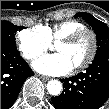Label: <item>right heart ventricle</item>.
<instances>
[{
    "instance_id": "e07e8e85",
    "label": "right heart ventricle",
    "mask_w": 109,
    "mask_h": 109,
    "mask_svg": "<svg viewBox=\"0 0 109 109\" xmlns=\"http://www.w3.org/2000/svg\"><path fill=\"white\" fill-rule=\"evenodd\" d=\"M41 27L51 42H58L60 39L65 38L75 31L85 28L86 26L77 20H67Z\"/></svg>"
}]
</instances>
